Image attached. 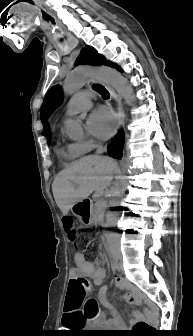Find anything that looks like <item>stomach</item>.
<instances>
[{"label": "stomach", "mask_w": 193, "mask_h": 336, "mask_svg": "<svg viewBox=\"0 0 193 336\" xmlns=\"http://www.w3.org/2000/svg\"><path fill=\"white\" fill-rule=\"evenodd\" d=\"M71 211L84 225H91L94 221L92 204L87 200H81L73 204Z\"/></svg>", "instance_id": "stomach-1"}]
</instances>
